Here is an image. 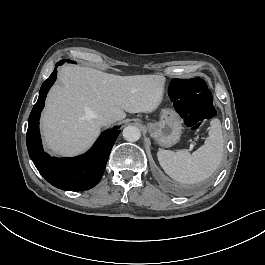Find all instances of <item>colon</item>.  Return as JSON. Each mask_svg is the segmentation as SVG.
<instances>
[{
  "label": "colon",
  "mask_w": 265,
  "mask_h": 265,
  "mask_svg": "<svg viewBox=\"0 0 265 265\" xmlns=\"http://www.w3.org/2000/svg\"><path fill=\"white\" fill-rule=\"evenodd\" d=\"M169 89L166 95L177 101V108L184 116L185 123L192 130L201 127L216 116L213 104V91L208 77L197 74L191 77L174 78L168 81Z\"/></svg>",
  "instance_id": "5ec220e1"
}]
</instances>
